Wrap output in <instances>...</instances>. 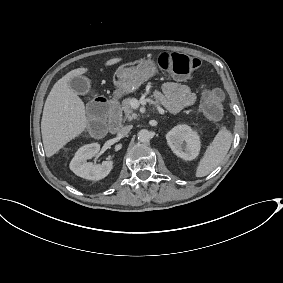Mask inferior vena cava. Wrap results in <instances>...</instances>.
I'll return each mask as SVG.
<instances>
[{
	"label": "inferior vena cava",
	"mask_w": 283,
	"mask_h": 283,
	"mask_svg": "<svg viewBox=\"0 0 283 283\" xmlns=\"http://www.w3.org/2000/svg\"><path fill=\"white\" fill-rule=\"evenodd\" d=\"M131 129H132V125H128L121 128L118 132V136L125 137Z\"/></svg>",
	"instance_id": "1"
}]
</instances>
